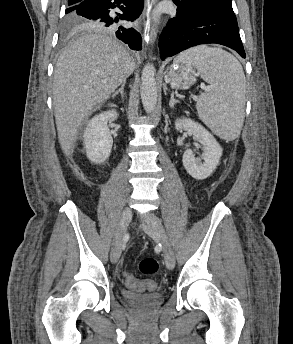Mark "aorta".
<instances>
[{
  "label": "aorta",
  "instance_id": "762f6f07",
  "mask_svg": "<svg viewBox=\"0 0 293 344\" xmlns=\"http://www.w3.org/2000/svg\"><path fill=\"white\" fill-rule=\"evenodd\" d=\"M155 72L156 70L152 63H147L142 70L140 94L144 110L148 114L155 110L157 104Z\"/></svg>",
  "mask_w": 293,
  "mask_h": 344
}]
</instances>
